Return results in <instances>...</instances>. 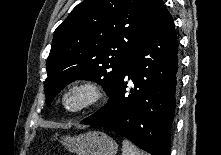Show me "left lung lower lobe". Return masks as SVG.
Segmentation results:
<instances>
[{
	"instance_id": "0a47b994",
	"label": "left lung lower lobe",
	"mask_w": 221,
	"mask_h": 155,
	"mask_svg": "<svg viewBox=\"0 0 221 155\" xmlns=\"http://www.w3.org/2000/svg\"><path fill=\"white\" fill-rule=\"evenodd\" d=\"M178 80L177 36L164 6L136 45L108 103L81 124L113 130L152 155H170Z\"/></svg>"
}]
</instances>
